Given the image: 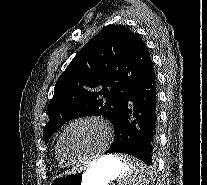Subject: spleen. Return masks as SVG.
<instances>
[{
  "label": "spleen",
  "mask_w": 207,
  "mask_h": 185,
  "mask_svg": "<svg viewBox=\"0 0 207 185\" xmlns=\"http://www.w3.org/2000/svg\"><path fill=\"white\" fill-rule=\"evenodd\" d=\"M124 174H120V185H146L147 179H155V174H149L150 166H145L143 159H133L132 153H119Z\"/></svg>",
  "instance_id": "3e777b00"
}]
</instances>
